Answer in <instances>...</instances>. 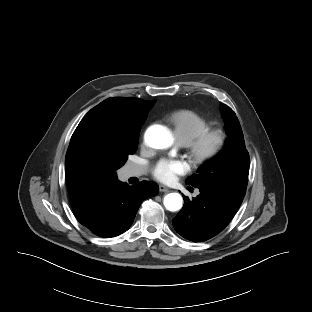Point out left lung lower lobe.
<instances>
[{"instance_id":"0a47b994","label":"left lung lower lobe","mask_w":312,"mask_h":312,"mask_svg":"<svg viewBox=\"0 0 312 312\" xmlns=\"http://www.w3.org/2000/svg\"><path fill=\"white\" fill-rule=\"evenodd\" d=\"M198 188L200 194L192 201L183 196L184 206L173 219L176 232L194 242L206 241L220 233L241 205L217 189Z\"/></svg>"}]
</instances>
